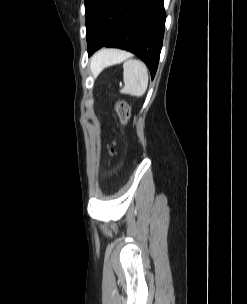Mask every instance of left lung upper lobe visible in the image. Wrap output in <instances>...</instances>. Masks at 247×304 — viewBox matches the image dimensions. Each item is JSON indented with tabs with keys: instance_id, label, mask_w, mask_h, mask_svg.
I'll list each match as a JSON object with an SVG mask.
<instances>
[{
	"instance_id": "left-lung-upper-lobe-1",
	"label": "left lung upper lobe",
	"mask_w": 247,
	"mask_h": 304,
	"mask_svg": "<svg viewBox=\"0 0 247 304\" xmlns=\"http://www.w3.org/2000/svg\"><path fill=\"white\" fill-rule=\"evenodd\" d=\"M103 0H85L86 24L95 16Z\"/></svg>"
}]
</instances>
